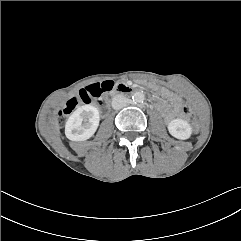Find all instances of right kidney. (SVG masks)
I'll return each mask as SVG.
<instances>
[{"mask_svg":"<svg viewBox=\"0 0 241 241\" xmlns=\"http://www.w3.org/2000/svg\"><path fill=\"white\" fill-rule=\"evenodd\" d=\"M100 121L99 111L92 105L78 107L68 118L65 135L71 141H85L96 132Z\"/></svg>","mask_w":241,"mask_h":241,"instance_id":"obj_1","label":"right kidney"}]
</instances>
